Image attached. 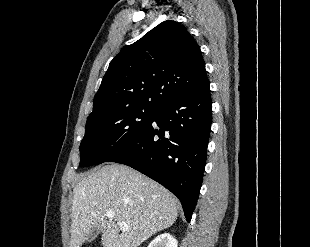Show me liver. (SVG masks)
<instances>
[{"instance_id":"6515ba94","label":"liver","mask_w":310,"mask_h":247,"mask_svg":"<svg viewBox=\"0 0 310 247\" xmlns=\"http://www.w3.org/2000/svg\"><path fill=\"white\" fill-rule=\"evenodd\" d=\"M73 193L70 247H80L93 228L102 232L103 247H138L172 226L180 207L163 186L122 164L93 170ZM108 210L114 211L113 218L106 216Z\"/></svg>"}]
</instances>
